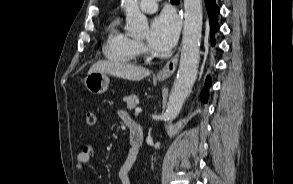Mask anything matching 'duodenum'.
<instances>
[{"mask_svg": "<svg viewBox=\"0 0 293 184\" xmlns=\"http://www.w3.org/2000/svg\"><path fill=\"white\" fill-rule=\"evenodd\" d=\"M128 127L131 150L134 154H138L144 138L143 128L133 120L128 123Z\"/></svg>", "mask_w": 293, "mask_h": 184, "instance_id": "obj_1", "label": "duodenum"}]
</instances>
